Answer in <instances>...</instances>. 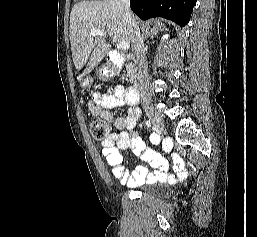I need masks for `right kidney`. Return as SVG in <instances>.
<instances>
[{
    "label": "right kidney",
    "mask_w": 257,
    "mask_h": 237,
    "mask_svg": "<svg viewBox=\"0 0 257 237\" xmlns=\"http://www.w3.org/2000/svg\"><path fill=\"white\" fill-rule=\"evenodd\" d=\"M169 38V35L168 34H165L163 35V37L161 38L162 41H165V40H168Z\"/></svg>",
    "instance_id": "ca27d5eb"
}]
</instances>
